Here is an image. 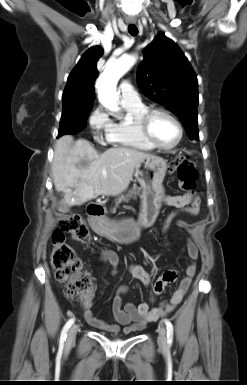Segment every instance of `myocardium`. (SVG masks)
<instances>
[{
	"mask_svg": "<svg viewBox=\"0 0 247 385\" xmlns=\"http://www.w3.org/2000/svg\"><path fill=\"white\" fill-rule=\"evenodd\" d=\"M159 114L167 116L168 118H170L175 123V125L178 129V133H179L178 138H177L176 142L170 146H163V145L159 144L154 139V137L152 136L151 122H152V119L156 115H159ZM138 127H139V130H140L142 136L145 138V140L151 146H153L156 149L165 150V151L172 150V149L176 148L181 143L183 136H184V129H183V126H182L181 122L179 121V119L174 114H172L170 111L162 109V108L147 109L138 119Z\"/></svg>",
	"mask_w": 247,
	"mask_h": 385,
	"instance_id": "obj_1",
	"label": "myocardium"
}]
</instances>
